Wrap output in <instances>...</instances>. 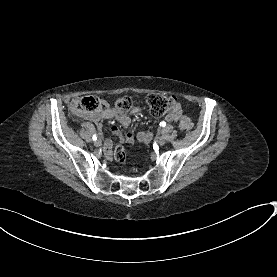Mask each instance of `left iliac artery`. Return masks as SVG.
<instances>
[{
  "instance_id": "1",
  "label": "left iliac artery",
  "mask_w": 277,
  "mask_h": 277,
  "mask_svg": "<svg viewBox=\"0 0 277 277\" xmlns=\"http://www.w3.org/2000/svg\"><path fill=\"white\" fill-rule=\"evenodd\" d=\"M160 126L161 127H165L166 126V122H164V121L160 122Z\"/></svg>"
}]
</instances>
